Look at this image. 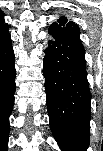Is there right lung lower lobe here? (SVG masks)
I'll return each instance as SVG.
<instances>
[{
    "instance_id": "1",
    "label": "right lung lower lobe",
    "mask_w": 103,
    "mask_h": 151,
    "mask_svg": "<svg viewBox=\"0 0 103 151\" xmlns=\"http://www.w3.org/2000/svg\"><path fill=\"white\" fill-rule=\"evenodd\" d=\"M14 77V56L10 35L7 26H5L0 31V110L2 112H0V118L2 122L12 105L15 88Z\"/></svg>"
}]
</instances>
